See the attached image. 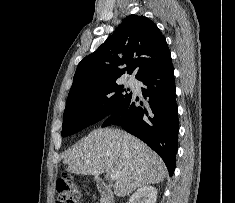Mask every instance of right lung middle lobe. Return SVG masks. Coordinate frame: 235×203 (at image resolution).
<instances>
[{
	"mask_svg": "<svg viewBox=\"0 0 235 203\" xmlns=\"http://www.w3.org/2000/svg\"><path fill=\"white\" fill-rule=\"evenodd\" d=\"M114 81L102 82L69 93L61 135L66 137L114 113L132 93Z\"/></svg>",
	"mask_w": 235,
	"mask_h": 203,
	"instance_id": "obj_1",
	"label": "right lung middle lobe"
}]
</instances>
